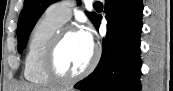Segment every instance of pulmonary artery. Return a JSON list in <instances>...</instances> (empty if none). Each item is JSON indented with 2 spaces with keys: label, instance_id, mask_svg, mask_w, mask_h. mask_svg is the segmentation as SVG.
<instances>
[{
  "label": "pulmonary artery",
  "instance_id": "obj_1",
  "mask_svg": "<svg viewBox=\"0 0 173 91\" xmlns=\"http://www.w3.org/2000/svg\"><path fill=\"white\" fill-rule=\"evenodd\" d=\"M72 1H58L52 4L49 11L62 23L67 22L71 18Z\"/></svg>",
  "mask_w": 173,
  "mask_h": 91
}]
</instances>
